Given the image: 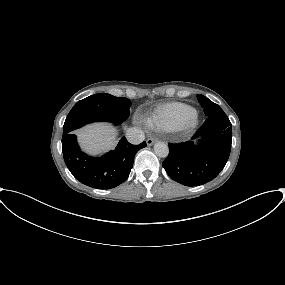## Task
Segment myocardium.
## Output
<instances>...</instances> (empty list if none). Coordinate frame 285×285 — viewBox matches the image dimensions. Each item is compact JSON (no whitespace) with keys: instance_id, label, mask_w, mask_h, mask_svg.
I'll return each mask as SVG.
<instances>
[{"instance_id":"obj_1","label":"myocardium","mask_w":285,"mask_h":285,"mask_svg":"<svg viewBox=\"0 0 285 285\" xmlns=\"http://www.w3.org/2000/svg\"><path fill=\"white\" fill-rule=\"evenodd\" d=\"M197 124V114L196 112H193L183 123V125L181 126V129L184 130H189L195 127V125Z\"/></svg>"}]
</instances>
